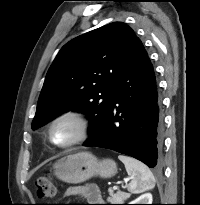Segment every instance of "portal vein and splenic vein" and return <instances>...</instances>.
Returning a JSON list of instances; mask_svg holds the SVG:
<instances>
[{
	"label": "portal vein and splenic vein",
	"instance_id": "1",
	"mask_svg": "<svg viewBox=\"0 0 200 205\" xmlns=\"http://www.w3.org/2000/svg\"><path fill=\"white\" fill-rule=\"evenodd\" d=\"M127 180H128V179H127ZM127 180H126V181H127ZM113 188H114V189H117V188H118V186H114Z\"/></svg>",
	"mask_w": 200,
	"mask_h": 205
}]
</instances>
